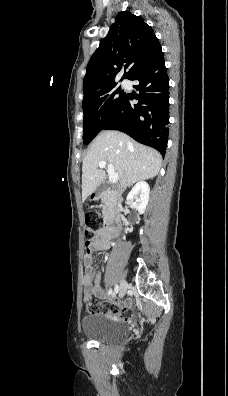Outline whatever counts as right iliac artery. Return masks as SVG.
<instances>
[{"mask_svg":"<svg viewBox=\"0 0 228 396\" xmlns=\"http://www.w3.org/2000/svg\"><path fill=\"white\" fill-rule=\"evenodd\" d=\"M118 291H119V286L118 285H116L115 286V288H114V292H113V294L115 295V294H117L118 293Z\"/></svg>","mask_w":228,"mask_h":396,"instance_id":"82829eb1","label":"right iliac artery"}]
</instances>
